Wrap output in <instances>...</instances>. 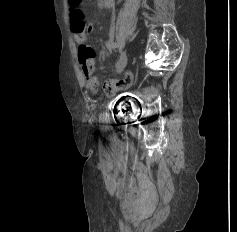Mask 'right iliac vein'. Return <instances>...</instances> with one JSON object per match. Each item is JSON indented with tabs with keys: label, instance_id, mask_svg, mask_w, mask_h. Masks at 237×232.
<instances>
[{
	"label": "right iliac vein",
	"instance_id": "63e3f726",
	"mask_svg": "<svg viewBox=\"0 0 237 232\" xmlns=\"http://www.w3.org/2000/svg\"><path fill=\"white\" fill-rule=\"evenodd\" d=\"M126 65H127V56L126 54H123L117 64V68H116L117 73H121L126 67Z\"/></svg>",
	"mask_w": 237,
	"mask_h": 232
}]
</instances>
